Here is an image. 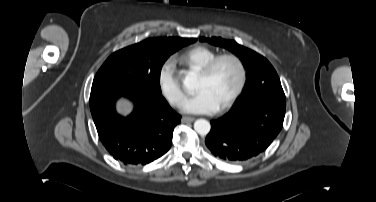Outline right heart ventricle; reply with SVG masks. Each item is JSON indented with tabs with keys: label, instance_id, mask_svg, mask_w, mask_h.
Masks as SVG:
<instances>
[{
	"label": "right heart ventricle",
	"instance_id": "1",
	"mask_svg": "<svg viewBox=\"0 0 376 202\" xmlns=\"http://www.w3.org/2000/svg\"><path fill=\"white\" fill-rule=\"evenodd\" d=\"M218 55L217 51L207 46H196L173 57V61L187 71H199Z\"/></svg>",
	"mask_w": 376,
	"mask_h": 202
}]
</instances>
